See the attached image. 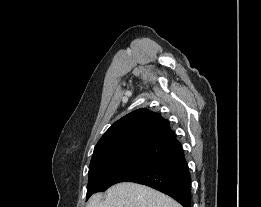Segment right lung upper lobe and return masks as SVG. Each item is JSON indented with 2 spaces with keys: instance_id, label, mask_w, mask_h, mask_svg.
Masks as SVG:
<instances>
[{
  "instance_id": "1",
  "label": "right lung upper lobe",
  "mask_w": 261,
  "mask_h": 207,
  "mask_svg": "<svg viewBox=\"0 0 261 207\" xmlns=\"http://www.w3.org/2000/svg\"><path fill=\"white\" fill-rule=\"evenodd\" d=\"M182 151L168 121L142 108L111 125L96 144L90 165L127 157L161 161Z\"/></svg>"
}]
</instances>
